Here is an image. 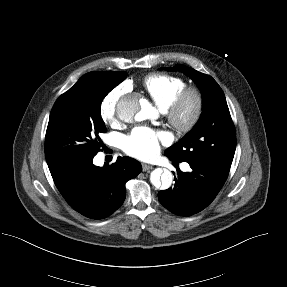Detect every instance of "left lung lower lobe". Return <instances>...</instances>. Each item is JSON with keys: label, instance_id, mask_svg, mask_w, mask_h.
I'll return each mask as SVG.
<instances>
[{"label": "left lung lower lobe", "instance_id": "left-lung-lower-lobe-1", "mask_svg": "<svg viewBox=\"0 0 287 287\" xmlns=\"http://www.w3.org/2000/svg\"><path fill=\"white\" fill-rule=\"evenodd\" d=\"M188 163L192 171L178 170L176 175L173 172L174 186L158 193L160 203L180 216H190L206 208L228 177L227 173L201 162L188 161Z\"/></svg>", "mask_w": 287, "mask_h": 287}]
</instances>
